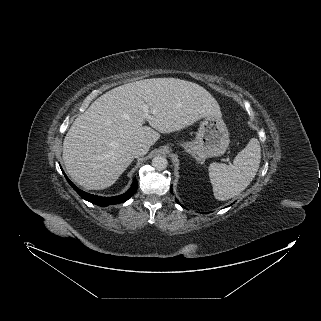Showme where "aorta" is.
Instances as JSON below:
<instances>
[{"instance_id": "aorta-1", "label": "aorta", "mask_w": 321, "mask_h": 321, "mask_svg": "<svg viewBox=\"0 0 321 321\" xmlns=\"http://www.w3.org/2000/svg\"><path fill=\"white\" fill-rule=\"evenodd\" d=\"M168 165V161L164 156H156L152 159V166L156 169V170H164L166 169Z\"/></svg>"}]
</instances>
